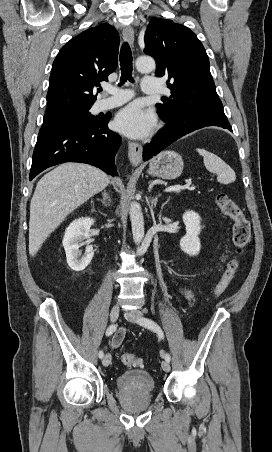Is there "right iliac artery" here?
I'll list each match as a JSON object with an SVG mask.
<instances>
[{
  "label": "right iliac artery",
  "instance_id": "1",
  "mask_svg": "<svg viewBox=\"0 0 272 452\" xmlns=\"http://www.w3.org/2000/svg\"><path fill=\"white\" fill-rule=\"evenodd\" d=\"M115 330H116V325H114V324L110 325L106 330V333H105L106 336L112 335L115 332ZM98 356H99V358H103V356H104L103 351H99Z\"/></svg>",
  "mask_w": 272,
  "mask_h": 452
}]
</instances>
